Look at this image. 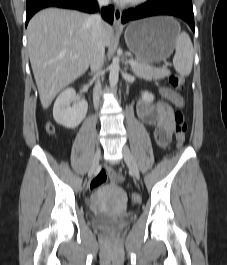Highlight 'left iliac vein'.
I'll list each match as a JSON object with an SVG mask.
<instances>
[{
  "mask_svg": "<svg viewBox=\"0 0 227 265\" xmlns=\"http://www.w3.org/2000/svg\"><path fill=\"white\" fill-rule=\"evenodd\" d=\"M122 153H123L124 161L126 162L130 171L132 172V174L135 176L136 179H139L140 178L139 169L128 146L126 145L123 146Z\"/></svg>",
  "mask_w": 227,
  "mask_h": 265,
  "instance_id": "4c4485c4",
  "label": "left iliac vein"
}]
</instances>
